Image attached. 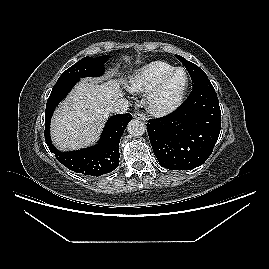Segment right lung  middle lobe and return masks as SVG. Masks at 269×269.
<instances>
[{
    "instance_id": "obj_1",
    "label": "right lung middle lobe",
    "mask_w": 269,
    "mask_h": 269,
    "mask_svg": "<svg viewBox=\"0 0 269 269\" xmlns=\"http://www.w3.org/2000/svg\"><path fill=\"white\" fill-rule=\"evenodd\" d=\"M108 55L100 56L98 58L84 57L69 69L63 72L59 80L66 78H83V77H97L104 73V63L107 61Z\"/></svg>"
}]
</instances>
